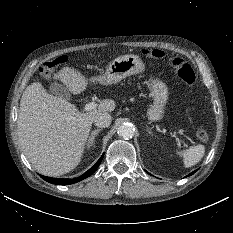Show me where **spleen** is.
<instances>
[{"mask_svg": "<svg viewBox=\"0 0 233 233\" xmlns=\"http://www.w3.org/2000/svg\"><path fill=\"white\" fill-rule=\"evenodd\" d=\"M205 147L202 144L190 147L187 151L181 153L184 159V166L191 167L197 164L204 156Z\"/></svg>", "mask_w": 233, "mask_h": 233, "instance_id": "spleen-1", "label": "spleen"}]
</instances>
